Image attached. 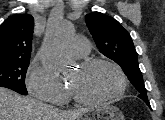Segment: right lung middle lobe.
Wrapping results in <instances>:
<instances>
[{"label": "right lung middle lobe", "mask_w": 165, "mask_h": 120, "mask_svg": "<svg viewBox=\"0 0 165 120\" xmlns=\"http://www.w3.org/2000/svg\"><path fill=\"white\" fill-rule=\"evenodd\" d=\"M30 59L0 58V87L26 95L25 76Z\"/></svg>", "instance_id": "1"}]
</instances>
